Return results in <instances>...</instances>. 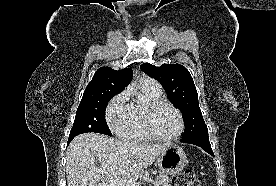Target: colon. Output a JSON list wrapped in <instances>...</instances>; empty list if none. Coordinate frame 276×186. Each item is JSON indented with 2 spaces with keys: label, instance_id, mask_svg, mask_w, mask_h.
Returning a JSON list of instances; mask_svg holds the SVG:
<instances>
[{
  "label": "colon",
  "instance_id": "1",
  "mask_svg": "<svg viewBox=\"0 0 276 186\" xmlns=\"http://www.w3.org/2000/svg\"><path fill=\"white\" fill-rule=\"evenodd\" d=\"M173 186H201V185L197 176L191 170H186L182 174L174 177Z\"/></svg>",
  "mask_w": 276,
  "mask_h": 186
}]
</instances>
